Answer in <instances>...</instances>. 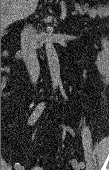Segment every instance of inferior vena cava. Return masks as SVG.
I'll list each match as a JSON object with an SVG mask.
<instances>
[{"instance_id": "602c4592", "label": "inferior vena cava", "mask_w": 109, "mask_h": 170, "mask_svg": "<svg viewBox=\"0 0 109 170\" xmlns=\"http://www.w3.org/2000/svg\"><path fill=\"white\" fill-rule=\"evenodd\" d=\"M21 51L31 82L35 85L39 78L40 69L36 56L35 34L31 25L26 26L21 33Z\"/></svg>"}]
</instances>
